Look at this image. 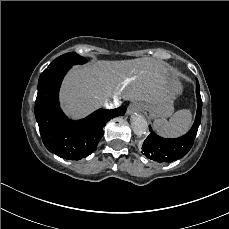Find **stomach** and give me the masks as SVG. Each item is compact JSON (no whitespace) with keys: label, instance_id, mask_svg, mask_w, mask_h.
<instances>
[{"label":"stomach","instance_id":"stomach-1","mask_svg":"<svg viewBox=\"0 0 229 229\" xmlns=\"http://www.w3.org/2000/svg\"><path fill=\"white\" fill-rule=\"evenodd\" d=\"M144 111L150 112L151 116L159 117V116H169L172 112V106L169 104H159L153 106L142 105Z\"/></svg>","mask_w":229,"mask_h":229}]
</instances>
